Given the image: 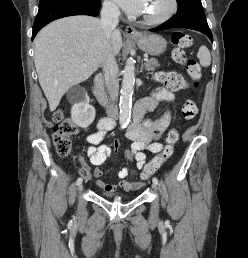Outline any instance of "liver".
Masks as SVG:
<instances>
[{
	"label": "liver",
	"instance_id": "1",
	"mask_svg": "<svg viewBox=\"0 0 248 258\" xmlns=\"http://www.w3.org/2000/svg\"><path fill=\"white\" fill-rule=\"evenodd\" d=\"M110 44L114 55L122 48L120 31ZM106 37L101 21L90 16H71L53 21L35 38L34 63L39 83L54 111L63 95L87 80L102 64Z\"/></svg>",
	"mask_w": 248,
	"mask_h": 258
}]
</instances>
